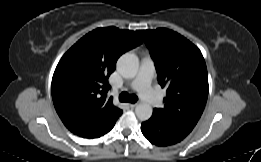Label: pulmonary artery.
Listing matches in <instances>:
<instances>
[{"label":"pulmonary artery","instance_id":"e3ab8cb5","mask_svg":"<svg viewBox=\"0 0 261 162\" xmlns=\"http://www.w3.org/2000/svg\"><path fill=\"white\" fill-rule=\"evenodd\" d=\"M154 73V61L148 56L143 57L139 72L130 83V87L133 90H136L144 100L160 107L163 102L158 93L151 87V81L154 77Z\"/></svg>","mask_w":261,"mask_h":162}]
</instances>
